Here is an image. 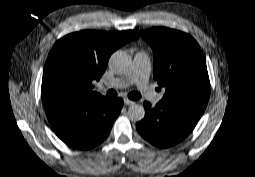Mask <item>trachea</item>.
<instances>
[{
    "instance_id": "3493384b",
    "label": "trachea",
    "mask_w": 255,
    "mask_h": 177,
    "mask_svg": "<svg viewBox=\"0 0 255 177\" xmlns=\"http://www.w3.org/2000/svg\"><path fill=\"white\" fill-rule=\"evenodd\" d=\"M107 95L110 97H115L117 93L114 90H108ZM128 96L133 100H137L141 97V94L138 92H131Z\"/></svg>"
}]
</instances>
